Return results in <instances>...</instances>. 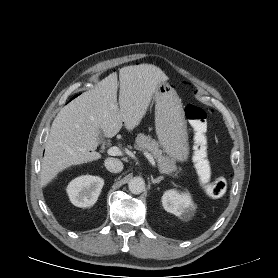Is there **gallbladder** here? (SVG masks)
Wrapping results in <instances>:
<instances>
[{"mask_svg":"<svg viewBox=\"0 0 278 278\" xmlns=\"http://www.w3.org/2000/svg\"><path fill=\"white\" fill-rule=\"evenodd\" d=\"M103 137H104V135H103V133L101 132V133L99 134L100 142H103Z\"/></svg>","mask_w":278,"mask_h":278,"instance_id":"bac80fb5","label":"gallbladder"}]
</instances>
